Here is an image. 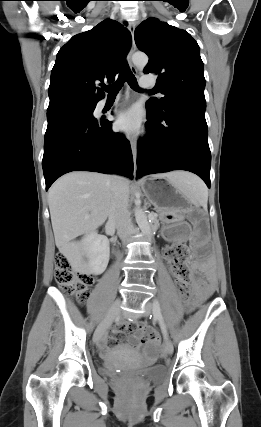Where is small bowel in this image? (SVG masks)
<instances>
[{
    "label": "small bowel",
    "mask_w": 261,
    "mask_h": 427,
    "mask_svg": "<svg viewBox=\"0 0 261 427\" xmlns=\"http://www.w3.org/2000/svg\"><path fill=\"white\" fill-rule=\"evenodd\" d=\"M213 289V281L209 278L206 285L200 283L194 286V298L187 304V309L191 310L200 300L205 298ZM129 330L131 334H136L141 329V324L137 319H132L127 326L125 324H119L114 330L113 334L109 335L106 341H102L101 348L114 347L122 341V336ZM129 344L133 348L139 347V339L137 335H131L129 337ZM158 352V338L155 337L150 340L146 346V353L149 357L154 358Z\"/></svg>",
    "instance_id": "obj_1"
}]
</instances>
